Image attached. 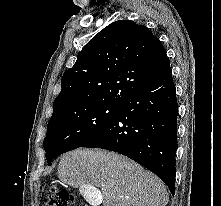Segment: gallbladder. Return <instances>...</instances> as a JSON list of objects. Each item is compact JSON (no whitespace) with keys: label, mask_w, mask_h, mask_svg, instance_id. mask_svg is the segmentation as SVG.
Returning a JSON list of instances; mask_svg holds the SVG:
<instances>
[{"label":"gallbladder","mask_w":221,"mask_h":206,"mask_svg":"<svg viewBox=\"0 0 221 206\" xmlns=\"http://www.w3.org/2000/svg\"><path fill=\"white\" fill-rule=\"evenodd\" d=\"M81 194L86 198L87 205L101 206L105 201L104 193H98V189H94V185H81Z\"/></svg>","instance_id":"obj_1"}]
</instances>
